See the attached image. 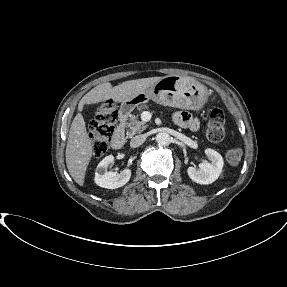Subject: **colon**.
Returning a JSON list of instances; mask_svg holds the SVG:
<instances>
[{
	"label": "colon",
	"mask_w": 287,
	"mask_h": 287,
	"mask_svg": "<svg viewBox=\"0 0 287 287\" xmlns=\"http://www.w3.org/2000/svg\"><path fill=\"white\" fill-rule=\"evenodd\" d=\"M118 121L117 106L112 100L103 102L96 110L91 124L90 138L92 154L95 159L102 157L113 138ZM207 138L211 142H220L225 136V120L221 110L214 109L206 129ZM226 160L230 165H237L242 159L240 148H231L226 152Z\"/></svg>",
	"instance_id": "obj_1"
}]
</instances>
